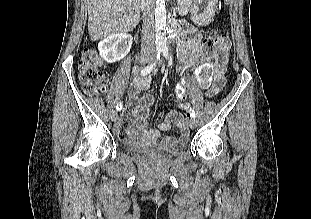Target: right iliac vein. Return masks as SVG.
Listing matches in <instances>:
<instances>
[{
    "mask_svg": "<svg viewBox=\"0 0 311 219\" xmlns=\"http://www.w3.org/2000/svg\"><path fill=\"white\" fill-rule=\"evenodd\" d=\"M140 61H141L142 64H146V63L151 61V57H149V56H141ZM111 119H112V121L114 123H117L118 122V114L116 112H114L112 114V116H111Z\"/></svg>",
    "mask_w": 311,
    "mask_h": 219,
    "instance_id": "obj_1",
    "label": "right iliac vein"
}]
</instances>
